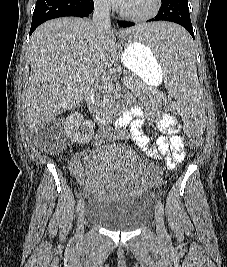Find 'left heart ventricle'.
<instances>
[{
	"instance_id": "left-heart-ventricle-1",
	"label": "left heart ventricle",
	"mask_w": 227,
	"mask_h": 267,
	"mask_svg": "<svg viewBox=\"0 0 227 267\" xmlns=\"http://www.w3.org/2000/svg\"><path fill=\"white\" fill-rule=\"evenodd\" d=\"M153 1L154 0H126L121 7L129 13L144 14L152 9Z\"/></svg>"
}]
</instances>
